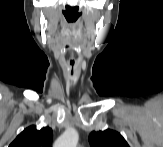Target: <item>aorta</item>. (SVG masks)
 Masks as SVG:
<instances>
[{
  "instance_id": "obj_1",
  "label": "aorta",
  "mask_w": 163,
  "mask_h": 147,
  "mask_svg": "<svg viewBox=\"0 0 163 147\" xmlns=\"http://www.w3.org/2000/svg\"><path fill=\"white\" fill-rule=\"evenodd\" d=\"M78 133L74 129L66 130L55 142V147H76L78 143Z\"/></svg>"
}]
</instances>
